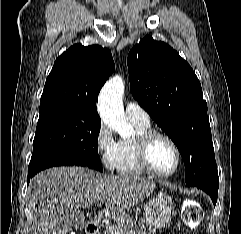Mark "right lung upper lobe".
Returning <instances> with one entry per match:
<instances>
[{"label": "right lung upper lobe", "mask_w": 241, "mask_h": 234, "mask_svg": "<svg viewBox=\"0 0 241 234\" xmlns=\"http://www.w3.org/2000/svg\"><path fill=\"white\" fill-rule=\"evenodd\" d=\"M114 70L108 49L99 45L71 46L56 59L46 79L40 108L68 106L99 117L97 97Z\"/></svg>", "instance_id": "obj_1"}]
</instances>
